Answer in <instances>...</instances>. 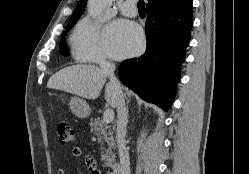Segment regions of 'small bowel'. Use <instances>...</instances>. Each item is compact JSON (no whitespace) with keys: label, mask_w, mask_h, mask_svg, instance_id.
Masks as SVG:
<instances>
[{"label":"small bowel","mask_w":249,"mask_h":174,"mask_svg":"<svg viewBox=\"0 0 249 174\" xmlns=\"http://www.w3.org/2000/svg\"><path fill=\"white\" fill-rule=\"evenodd\" d=\"M81 154H82V150L79 147H73L70 150L71 158H77L81 156ZM84 162L90 174H102V172L97 167V162L94 159V157H92L91 155H86L84 158ZM57 174H66V172L63 168H59L57 170Z\"/></svg>","instance_id":"c3829d8e"}]
</instances>
